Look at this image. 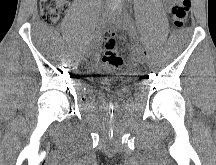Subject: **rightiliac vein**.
<instances>
[{"mask_svg":"<svg viewBox=\"0 0 216 165\" xmlns=\"http://www.w3.org/2000/svg\"><path fill=\"white\" fill-rule=\"evenodd\" d=\"M106 19H107L106 13L101 12L98 16L96 28H95V31L93 33V38H92L93 43L89 46L88 51H87L88 56L91 55V53H92L94 43L99 38L101 30H102L104 24L106 23Z\"/></svg>","mask_w":216,"mask_h":165,"instance_id":"63e3f726","label":"right iliac vein"}]
</instances>
